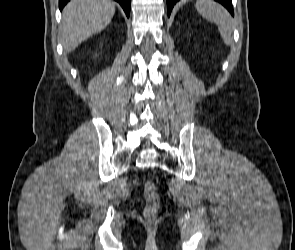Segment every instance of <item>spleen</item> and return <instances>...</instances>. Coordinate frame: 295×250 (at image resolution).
Segmentation results:
<instances>
[{"instance_id": "spleen-1", "label": "spleen", "mask_w": 295, "mask_h": 250, "mask_svg": "<svg viewBox=\"0 0 295 250\" xmlns=\"http://www.w3.org/2000/svg\"><path fill=\"white\" fill-rule=\"evenodd\" d=\"M195 7L204 18L218 26L224 43L230 45L233 41V28L229 12L212 0H197Z\"/></svg>"}]
</instances>
